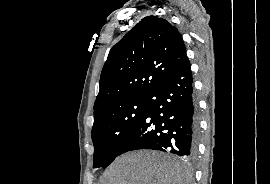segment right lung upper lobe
I'll return each instance as SVG.
<instances>
[{"label":"right lung upper lobe","mask_w":270,"mask_h":184,"mask_svg":"<svg viewBox=\"0 0 270 184\" xmlns=\"http://www.w3.org/2000/svg\"><path fill=\"white\" fill-rule=\"evenodd\" d=\"M186 59L176 27L156 16L143 18L109 52L94 104V121L125 101L148 96Z\"/></svg>","instance_id":"1"}]
</instances>
